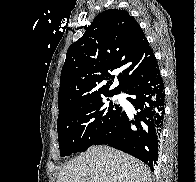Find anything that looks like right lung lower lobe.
<instances>
[{
    "label": "right lung lower lobe",
    "mask_w": 196,
    "mask_h": 182,
    "mask_svg": "<svg viewBox=\"0 0 196 182\" xmlns=\"http://www.w3.org/2000/svg\"><path fill=\"white\" fill-rule=\"evenodd\" d=\"M125 93L134 96L127 100L138 110L135 119L121 111L93 145L108 144L140 159L154 171L165 113L164 83L156 60L128 86Z\"/></svg>",
    "instance_id": "obj_1"
}]
</instances>
